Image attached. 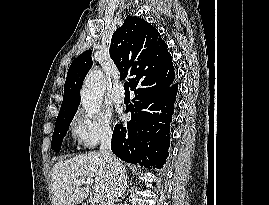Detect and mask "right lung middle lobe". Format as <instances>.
<instances>
[{
	"mask_svg": "<svg viewBox=\"0 0 269 205\" xmlns=\"http://www.w3.org/2000/svg\"><path fill=\"white\" fill-rule=\"evenodd\" d=\"M75 113L58 118L55 123V129L52 137L51 147L55 151H60L62 140L66 135L69 125Z\"/></svg>",
	"mask_w": 269,
	"mask_h": 205,
	"instance_id": "1",
	"label": "right lung middle lobe"
}]
</instances>
